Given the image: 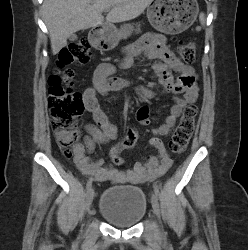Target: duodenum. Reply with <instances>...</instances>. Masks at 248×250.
<instances>
[{
  "mask_svg": "<svg viewBox=\"0 0 248 250\" xmlns=\"http://www.w3.org/2000/svg\"><path fill=\"white\" fill-rule=\"evenodd\" d=\"M100 36H101V34H94V35H93L94 38H98V37H100Z\"/></svg>",
  "mask_w": 248,
  "mask_h": 250,
  "instance_id": "410a0bca",
  "label": "duodenum"
}]
</instances>
